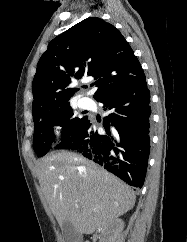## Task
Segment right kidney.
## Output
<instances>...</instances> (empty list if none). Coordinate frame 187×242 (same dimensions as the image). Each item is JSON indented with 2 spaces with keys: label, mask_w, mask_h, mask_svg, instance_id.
<instances>
[{
  "label": "right kidney",
  "mask_w": 187,
  "mask_h": 242,
  "mask_svg": "<svg viewBox=\"0 0 187 242\" xmlns=\"http://www.w3.org/2000/svg\"><path fill=\"white\" fill-rule=\"evenodd\" d=\"M123 228L124 222L121 219H113L106 223L103 226V232L107 234V242H114L115 238L123 230Z\"/></svg>",
  "instance_id": "1"
}]
</instances>
